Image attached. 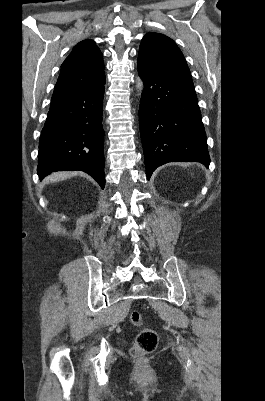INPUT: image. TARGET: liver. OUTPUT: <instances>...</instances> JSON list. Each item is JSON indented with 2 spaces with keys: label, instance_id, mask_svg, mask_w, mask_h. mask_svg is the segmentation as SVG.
<instances>
[{
  "label": "liver",
  "instance_id": "1",
  "mask_svg": "<svg viewBox=\"0 0 265 401\" xmlns=\"http://www.w3.org/2000/svg\"><path fill=\"white\" fill-rule=\"evenodd\" d=\"M77 172H54V174H50L47 178V182H59V180H66V178H70V176H74Z\"/></svg>",
  "mask_w": 265,
  "mask_h": 401
}]
</instances>
